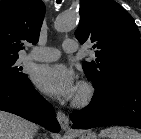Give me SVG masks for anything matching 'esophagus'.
<instances>
[{"mask_svg": "<svg viewBox=\"0 0 141 139\" xmlns=\"http://www.w3.org/2000/svg\"><path fill=\"white\" fill-rule=\"evenodd\" d=\"M57 120L61 126V129L63 131H69L70 130V126H69V118L68 116L62 112L61 110H58L57 113Z\"/></svg>", "mask_w": 141, "mask_h": 139, "instance_id": "34e87169", "label": "esophagus"}]
</instances>
